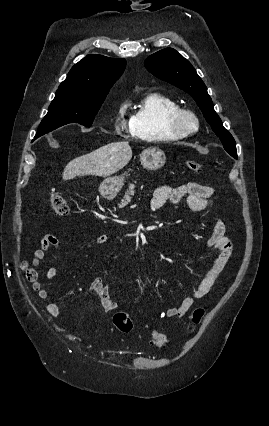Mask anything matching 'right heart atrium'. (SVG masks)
<instances>
[{
	"label": "right heart atrium",
	"mask_w": 269,
	"mask_h": 426,
	"mask_svg": "<svg viewBox=\"0 0 269 426\" xmlns=\"http://www.w3.org/2000/svg\"><path fill=\"white\" fill-rule=\"evenodd\" d=\"M114 131L121 136L132 134L131 118L127 117V103L125 102L121 103L117 108Z\"/></svg>",
	"instance_id": "obj_1"
}]
</instances>
